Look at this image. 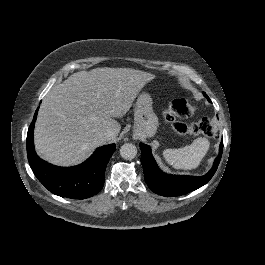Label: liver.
<instances>
[{
    "instance_id": "6515ba94",
    "label": "liver",
    "mask_w": 265,
    "mask_h": 265,
    "mask_svg": "<svg viewBox=\"0 0 265 265\" xmlns=\"http://www.w3.org/2000/svg\"><path fill=\"white\" fill-rule=\"evenodd\" d=\"M155 75L130 68H96L79 71L52 87L38 113L34 142L41 158L61 166L84 161L108 140L107 128L115 138L123 117L141 89Z\"/></svg>"
}]
</instances>
